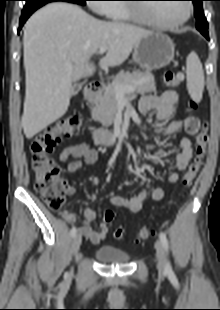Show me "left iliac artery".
Here are the masks:
<instances>
[{
    "mask_svg": "<svg viewBox=\"0 0 220 310\" xmlns=\"http://www.w3.org/2000/svg\"><path fill=\"white\" fill-rule=\"evenodd\" d=\"M159 238H160V242H161L163 248L165 249L166 253H168V240H167L165 233L161 232L159 234ZM167 270L168 271L171 270V265L169 262H167Z\"/></svg>",
    "mask_w": 220,
    "mask_h": 310,
    "instance_id": "obj_1",
    "label": "left iliac artery"
}]
</instances>
